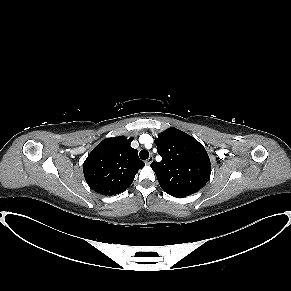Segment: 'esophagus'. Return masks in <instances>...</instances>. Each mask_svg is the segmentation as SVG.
<instances>
[{
	"instance_id": "esophagus-1",
	"label": "esophagus",
	"mask_w": 291,
	"mask_h": 291,
	"mask_svg": "<svg viewBox=\"0 0 291 291\" xmlns=\"http://www.w3.org/2000/svg\"><path fill=\"white\" fill-rule=\"evenodd\" d=\"M153 160H154L153 156H150V157L145 161L146 165H150V164L153 162Z\"/></svg>"
}]
</instances>
